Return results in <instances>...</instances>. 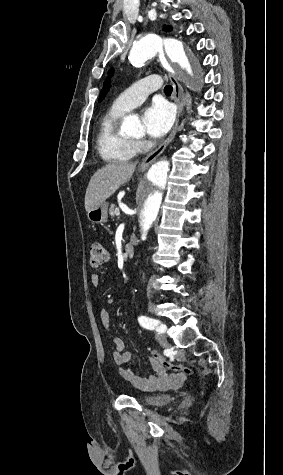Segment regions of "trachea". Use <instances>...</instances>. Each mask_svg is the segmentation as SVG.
Returning a JSON list of instances; mask_svg holds the SVG:
<instances>
[{
	"label": "trachea",
	"mask_w": 283,
	"mask_h": 475,
	"mask_svg": "<svg viewBox=\"0 0 283 475\" xmlns=\"http://www.w3.org/2000/svg\"><path fill=\"white\" fill-rule=\"evenodd\" d=\"M164 92H165L166 94L172 93V86H171V85H167V86L164 88Z\"/></svg>",
	"instance_id": "3493384b"
}]
</instances>
